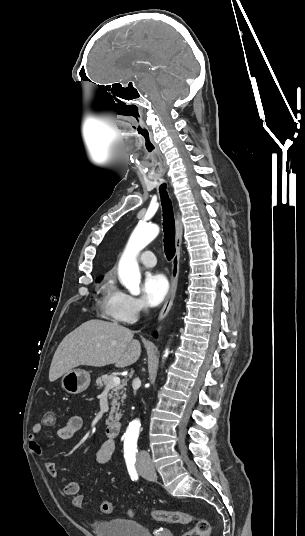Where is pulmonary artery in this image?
<instances>
[{
	"instance_id": "obj_1",
	"label": "pulmonary artery",
	"mask_w": 305,
	"mask_h": 536,
	"mask_svg": "<svg viewBox=\"0 0 305 536\" xmlns=\"http://www.w3.org/2000/svg\"><path fill=\"white\" fill-rule=\"evenodd\" d=\"M137 260L146 267H153L156 265L155 254L149 249L142 251L137 256Z\"/></svg>"
}]
</instances>
